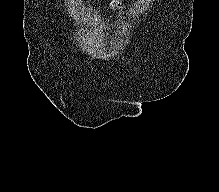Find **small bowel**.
Returning a JSON list of instances; mask_svg holds the SVG:
<instances>
[{"mask_svg":"<svg viewBox=\"0 0 219 192\" xmlns=\"http://www.w3.org/2000/svg\"><path fill=\"white\" fill-rule=\"evenodd\" d=\"M124 0H112L110 6L112 9L121 12L124 8Z\"/></svg>","mask_w":219,"mask_h":192,"instance_id":"small-bowel-1","label":"small bowel"}]
</instances>
